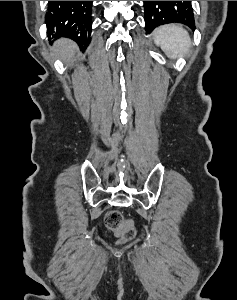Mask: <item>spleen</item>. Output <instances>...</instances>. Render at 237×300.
Wrapping results in <instances>:
<instances>
[{
	"label": "spleen",
	"instance_id": "3e777b00",
	"mask_svg": "<svg viewBox=\"0 0 237 300\" xmlns=\"http://www.w3.org/2000/svg\"><path fill=\"white\" fill-rule=\"evenodd\" d=\"M154 43L157 47H161L168 59H177V57H185L187 51L191 47L190 37L176 23L163 25L154 31Z\"/></svg>",
	"mask_w": 237,
	"mask_h": 300
}]
</instances>
